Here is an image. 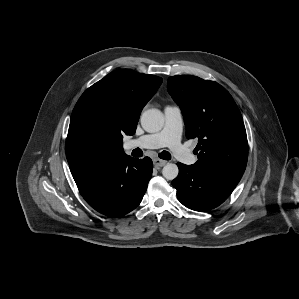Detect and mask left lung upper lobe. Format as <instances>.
I'll return each mask as SVG.
<instances>
[{"mask_svg": "<svg viewBox=\"0 0 299 299\" xmlns=\"http://www.w3.org/2000/svg\"><path fill=\"white\" fill-rule=\"evenodd\" d=\"M167 88L182 110L186 137L198 139L193 167L238 184L247 165L248 141L231 95L218 83L191 75L170 77Z\"/></svg>", "mask_w": 299, "mask_h": 299, "instance_id": "5c2ea615", "label": "left lung upper lobe"}]
</instances>
